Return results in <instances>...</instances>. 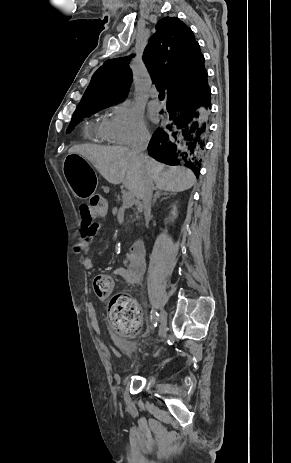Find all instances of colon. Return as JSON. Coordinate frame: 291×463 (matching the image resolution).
I'll return each mask as SVG.
<instances>
[{"mask_svg": "<svg viewBox=\"0 0 291 463\" xmlns=\"http://www.w3.org/2000/svg\"><path fill=\"white\" fill-rule=\"evenodd\" d=\"M89 214L94 211L95 217H106V202L100 196L90 199L89 205L81 206ZM95 295L101 299L111 297L114 289V281L109 275H98L93 280ZM108 315L114 330L121 335L134 334L140 324V315L137 304L127 296L117 295L110 299Z\"/></svg>", "mask_w": 291, "mask_h": 463, "instance_id": "colon-1", "label": "colon"}]
</instances>
